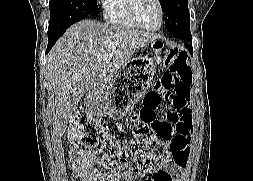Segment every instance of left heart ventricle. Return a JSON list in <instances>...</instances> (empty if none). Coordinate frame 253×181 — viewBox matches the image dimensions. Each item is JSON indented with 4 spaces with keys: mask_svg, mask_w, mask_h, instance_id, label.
<instances>
[{
    "mask_svg": "<svg viewBox=\"0 0 253 181\" xmlns=\"http://www.w3.org/2000/svg\"><path fill=\"white\" fill-rule=\"evenodd\" d=\"M137 12L144 26L155 28L159 25L160 10L156 0H139Z\"/></svg>",
    "mask_w": 253,
    "mask_h": 181,
    "instance_id": "b2bd125f",
    "label": "left heart ventricle"
}]
</instances>
